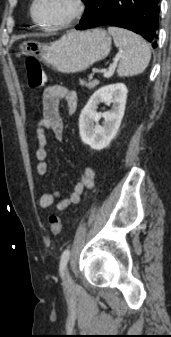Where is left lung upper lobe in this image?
Segmentation results:
<instances>
[{"label": "left lung upper lobe", "mask_w": 171, "mask_h": 337, "mask_svg": "<svg viewBox=\"0 0 171 337\" xmlns=\"http://www.w3.org/2000/svg\"><path fill=\"white\" fill-rule=\"evenodd\" d=\"M83 1H84L85 5H86V7H87L88 4H89V2H90L91 0H83Z\"/></svg>", "instance_id": "1"}]
</instances>
